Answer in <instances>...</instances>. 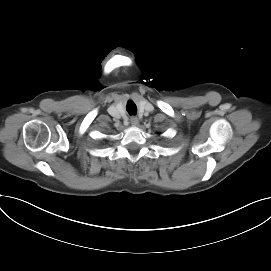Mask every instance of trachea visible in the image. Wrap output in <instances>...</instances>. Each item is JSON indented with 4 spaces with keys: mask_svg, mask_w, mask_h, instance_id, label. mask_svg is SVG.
<instances>
[{
    "mask_svg": "<svg viewBox=\"0 0 271 271\" xmlns=\"http://www.w3.org/2000/svg\"><path fill=\"white\" fill-rule=\"evenodd\" d=\"M126 109L130 115H135L137 112V107L132 101L128 102Z\"/></svg>",
    "mask_w": 271,
    "mask_h": 271,
    "instance_id": "trachea-1",
    "label": "trachea"
}]
</instances>
